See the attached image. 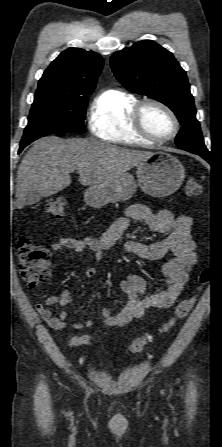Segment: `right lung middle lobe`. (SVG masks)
I'll list each match as a JSON object with an SVG mask.
<instances>
[{
    "label": "right lung middle lobe",
    "instance_id": "right-lung-middle-lobe-1",
    "mask_svg": "<svg viewBox=\"0 0 222 447\" xmlns=\"http://www.w3.org/2000/svg\"><path fill=\"white\" fill-rule=\"evenodd\" d=\"M90 94L79 96L66 94L56 89H37L28 125L20 143V151L29 143L45 135L83 130Z\"/></svg>",
    "mask_w": 222,
    "mask_h": 447
}]
</instances>
